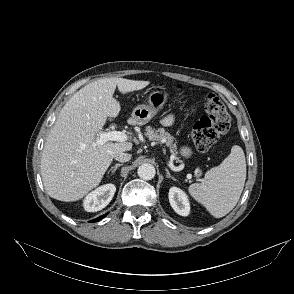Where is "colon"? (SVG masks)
<instances>
[{
    "label": "colon",
    "instance_id": "colon-1",
    "mask_svg": "<svg viewBox=\"0 0 294 294\" xmlns=\"http://www.w3.org/2000/svg\"><path fill=\"white\" fill-rule=\"evenodd\" d=\"M205 115L195 124L192 139L200 152L208 151L231 127V116L221 99L208 94L204 101Z\"/></svg>",
    "mask_w": 294,
    "mask_h": 294
}]
</instances>
